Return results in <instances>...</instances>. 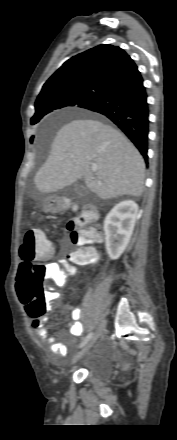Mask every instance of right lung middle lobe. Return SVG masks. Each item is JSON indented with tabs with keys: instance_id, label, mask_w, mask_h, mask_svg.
<instances>
[{
	"instance_id": "right-lung-middle-lobe-1",
	"label": "right lung middle lobe",
	"mask_w": 177,
	"mask_h": 440,
	"mask_svg": "<svg viewBox=\"0 0 177 440\" xmlns=\"http://www.w3.org/2000/svg\"><path fill=\"white\" fill-rule=\"evenodd\" d=\"M103 95L98 93H86V92H64L54 96L53 98L46 100L39 105H35V114L31 118V124L38 123L43 116L52 112L53 110L65 108V107H81L87 108L91 104L101 99ZM33 140V137L31 138Z\"/></svg>"
}]
</instances>
